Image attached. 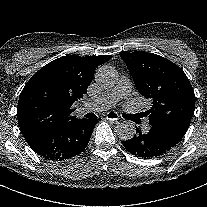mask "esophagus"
Returning a JSON list of instances; mask_svg holds the SVG:
<instances>
[{
  "instance_id": "esophagus-1",
  "label": "esophagus",
  "mask_w": 207,
  "mask_h": 207,
  "mask_svg": "<svg viewBox=\"0 0 207 207\" xmlns=\"http://www.w3.org/2000/svg\"><path fill=\"white\" fill-rule=\"evenodd\" d=\"M105 117H106V119H108L110 121H116L119 119V115L115 111L108 112Z\"/></svg>"
}]
</instances>
